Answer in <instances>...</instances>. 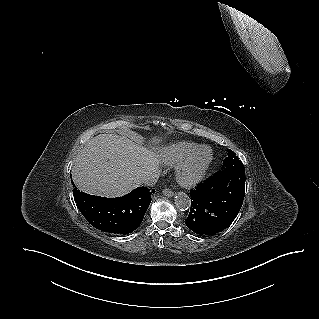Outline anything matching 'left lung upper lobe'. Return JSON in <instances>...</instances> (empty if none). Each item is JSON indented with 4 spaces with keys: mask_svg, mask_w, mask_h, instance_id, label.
<instances>
[{
    "mask_svg": "<svg viewBox=\"0 0 319 319\" xmlns=\"http://www.w3.org/2000/svg\"><path fill=\"white\" fill-rule=\"evenodd\" d=\"M221 170H240L245 171L242 162L236 156V154L228 149V157L223 161Z\"/></svg>",
    "mask_w": 319,
    "mask_h": 319,
    "instance_id": "obj_1",
    "label": "left lung upper lobe"
}]
</instances>
